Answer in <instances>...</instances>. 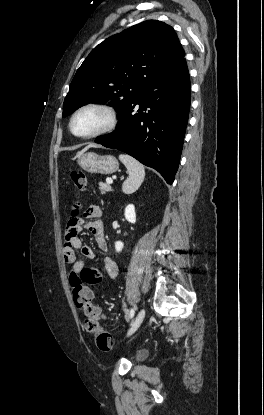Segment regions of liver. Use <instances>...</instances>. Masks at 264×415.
<instances>
[{
  "mask_svg": "<svg viewBox=\"0 0 264 415\" xmlns=\"http://www.w3.org/2000/svg\"><path fill=\"white\" fill-rule=\"evenodd\" d=\"M89 147H90V146H88V147L84 148V149H83L80 153H84L87 149H89ZM80 153H79V154H80Z\"/></svg>",
  "mask_w": 264,
  "mask_h": 415,
  "instance_id": "6515ba94",
  "label": "liver"
}]
</instances>
